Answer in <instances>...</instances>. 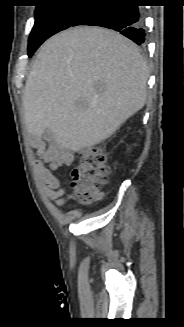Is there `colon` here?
<instances>
[{
    "label": "colon",
    "instance_id": "colon-1",
    "mask_svg": "<svg viewBox=\"0 0 184 327\" xmlns=\"http://www.w3.org/2000/svg\"><path fill=\"white\" fill-rule=\"evenodd\" d=\"M109 173L104 151L99 147L89 149L71 174L70 187L74 196L82 203H91L101 195Z\"/></svg>",
    "mask_w": 184,
    "mask_h": 327
}]
</instances>
